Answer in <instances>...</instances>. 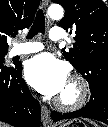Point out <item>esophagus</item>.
I'll return each mask as SVG.
<instances>
[{"label":"esophagus","instance_id":"34e87169","mask_svg":"<svg viewBox=\"0 0 108 127\" xmlns=\"http://www.w3.org/2000/svg\"><path fill=\"white\" fill-rule=\"evenodd\" d=\"M47 5L48 0H42V6L44 9H46ZM41 119L45 127H51L52 121L50 117V110L44 105L41 106Z\"/></svg>","mask_w":108,"mask_h":127}]
</instances>
